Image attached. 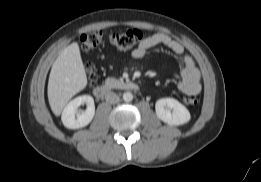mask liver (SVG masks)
I'll use <instances>...</instances> for the list:
<instances>
[{
	"mask_svg": "<svg viewBox=\"0 0 261 182\" xmlns=\"http://www.w3.org/2000/svg\"><path fill=\"white\" fill-rule=\"evenodd\" d=\"M87 85V76L77 42L64 48L52 65L48 81L51 110L59 116L68 101Z\"/></svg>",
	"mask_w": 261,
	"mask_h": 182,
	"instance_id": "6515ba94",
	"label": "liver"
}]
</instances>
